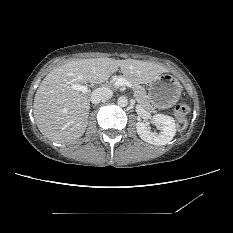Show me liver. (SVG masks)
Listing matches in <instances>:
<instances>
[{"mask_svg": "<svg viewBox=\"0 0 233 233\" xmlns=\"http://www.w3.org/2000/svg\"><path fill=\"white\" fill-rule=\"evenodd\" d=\"M120 68L132 82L147 84L168 70L135 59L89 58L69 61L47 74L34 97L33 113L40 132L51 141L79 139L88 124L91 92L74 90L72 84L102 83Z\"/></svg>", "mask_w": 233, "mask_h": 233, "instance_id": "6515ba94", "label": "liver"}]
</instances>
